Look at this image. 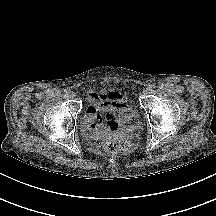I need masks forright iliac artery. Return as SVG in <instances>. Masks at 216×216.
Instances as JSON below:
<instances>
[{
	"label": "right iliac artery",
	"mask_w": 216,
	"mask_h": 216,
	"mask_svg": "<svg viewBox=\"0 0 216 216\" xmlns=\"http://www.w3.org/2000/svg\"><path fill=\"white\" fill-rule=\"evenodd\" d=\"M64 92H65L66 94H69V93H70V89L66 88V89L64 90Z\"/></svg>",
	"instance_id": "1"
}]
</instances>
